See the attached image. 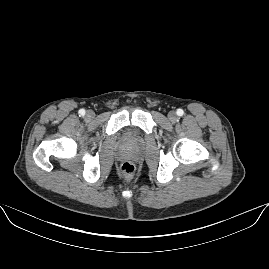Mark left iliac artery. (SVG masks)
Returning <instances> with one entry per match:
<instances>
[{
	"mask_svg": "<svg viewBox=\"0 0 269 269\" xmlns=\"http://www.w3.org/2000/svg\"><path fill=\"white\" fill-rule=\"evenodd\" d=\"M184 114V111L182 109L177 110V115L182 116Z\"/></svg>",
	"mask_w": 269,
	"mask_h": 269,
	"instance_id": "1",
	"label": "left iliac artery"
}]
</instances>
